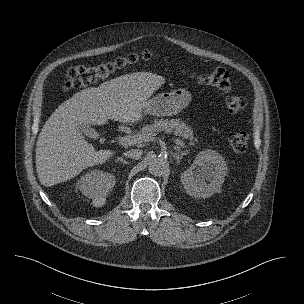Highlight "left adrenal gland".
I'll list each match as a JSON object with an SVG mask.
<instances>
[{"mask_svg":"<svg viewBox=\"0 0 304 304\" xmlns=\"http://www.w3.org/2000/svg\"><path fill=\"white\" fill-rule=\"evenodd\" d=\"M189 153V150L185 151H178L176 153H172V156L176 159L177 163H180V160L183 158V156L187 155Z\"/></svg>","mask_w":304,"mask_h":304,"instance_id":"1","label":"left adrenal gland"}]
</instances>
